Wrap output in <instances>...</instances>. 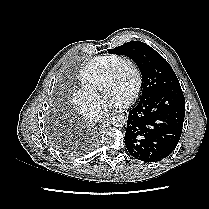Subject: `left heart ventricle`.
I'll return each mask as SVG.
<instances>
[{"label":"left heart ventricle","instance_id":"1","mask_svg":"<svg viewBox=\"0 0 209 209\" xmlns=\"http://www.w3.org/2000/svg\"><path fill=\"white\" fill-rule=\"evenodd\" d=\"M135 83V75L129 64L119 66L115 77L103 88L105 96L120 95L128 99Z\"/></svg>","mask_w":209,"mask_h":209}]
</instances>
